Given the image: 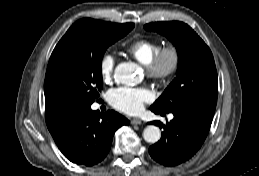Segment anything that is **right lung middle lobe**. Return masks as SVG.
Wrapping results in <instances>:
<instances>
[{"label":"right lung middle lobe","instance_id":"dd1d6c3e","mask_svg":"<svg viewBox=\"0 0 259 176\" xmlns=\"http://www.w3.org/2000/svg\"><path fill=\"white\" fill-rule=\"evenodd\" d=\"M133 23L81 19L54 48L48 66L59 80L67 103L91 105L102 89L101 63L106 49L124 37Z\"/></svg>","mask_w":259,"mask_h":176}]
</instances>
